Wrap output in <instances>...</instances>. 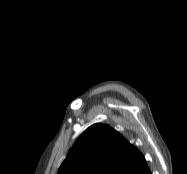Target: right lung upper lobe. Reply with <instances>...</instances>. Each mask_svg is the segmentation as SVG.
<instances>
[{
  "mask_svg": "<svg viewBox=\"0 0 187 174\" xmlns=\"http://www.w3.org/2000/svg\"><path fill=\"white\" fill-rule=\"evenodd\" d=\"M58 174H151L144 156L108 125L90 126L75 142Z\"/></svg>",
  "mask_w": 187,
  "mask_h": 174,
  "instance_id": "right-lung-upper-lobe-1",
  "label": "right lung upper lobe"
}]
</instances>
